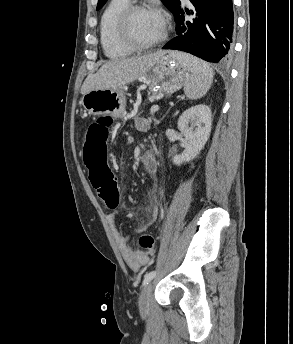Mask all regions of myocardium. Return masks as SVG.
<instances>
[{
  "label": "myocardium",
  "mask_w": 293,
  "mask_h": 344,
  "mask_svg": "<svg viewBox=\"0 0 293 344\" xmlns=\"http://www.w3.org/2000/svg\"><path fill=\"white\" fill-rule=\"evenodd\" d=\"M142 11H150L154 12L156 14H159L155 9L152 7L143 4V3H134L128 5L118 16L117 22H116V32L119 37V40L129 48L137 51H144L151 48H154L156 46L161 45L164 43L168 37V31L165 22L163 21L164 30L162 35L151 42H141L135 39L131 33V20L133 16Z\"/></svg>",
  "instance_id": "f54148a6"
}]
</instances>
